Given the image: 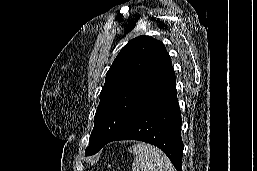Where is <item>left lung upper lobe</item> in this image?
<instances>
[{"label": "left lung upper lobe", "mask_w": 257, "mask_h": 171, "mask_svg": "<svg viewBox=\"0 0 257 171\" xmlns=\"http://www.w3.org/2000/svg\"><path fill=\"white\" fill-rule=\"evenodd\" d=\"M172 68L162 42L145 35L130 40L106 74L85 153L118 135L157 93Z\"/></svg>", "instance_id": "obj_1"}]
</instances>
